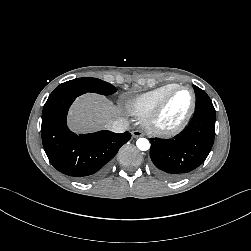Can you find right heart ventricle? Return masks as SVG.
Returning a JSON list of instances; mask_svg holds the SVG:
<instances>
[{"mask_svg":"<svg viewBox=\"0 0 251 251\" xmlns=\"http://www.w3.org/2000/svg\"><path fill=\"white\" fill-rule=\"evenodd\" d=\"M174 86L176 84H167L128 99L124 104L125 109L135 118H145Z\"/></svg>","mask_w":251,"mask_h":251,"instance_id":"e07e8e85","label":"right heart ventricle"}]
</instances>
